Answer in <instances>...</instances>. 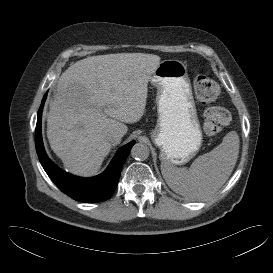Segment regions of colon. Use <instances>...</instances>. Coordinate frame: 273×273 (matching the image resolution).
I'll return each instance as SVG.
<instances>
[{
  "instance_id": "5ec220e1",
  "label": "colon",
  "mask_w": 273,
  "mask_h": 273,
  "mask_svg": "<svg viewBox=\"0 0 273 273\" xmlns=\"http://www.w3.org/2000/svg\"><path fill=\"white\" fill-rule=\"evenodd\" d=\"M194 88L197 98L204 103L215 101L220 93L219 86L205 76L195 79ZM229 119V112L225 108H208L203 117V130L209 135L218 134L227 126Z\"/></svg>"
}]
</instances>
